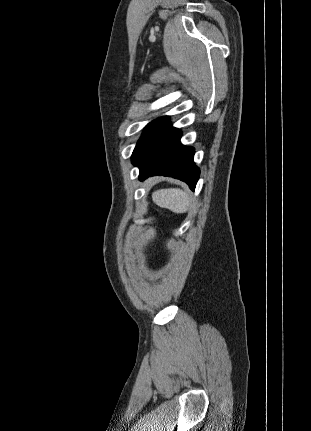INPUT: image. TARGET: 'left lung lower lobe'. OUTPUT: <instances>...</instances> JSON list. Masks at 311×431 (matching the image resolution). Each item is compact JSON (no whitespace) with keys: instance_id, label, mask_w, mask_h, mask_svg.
Returning <instances> with one entry per match:
<instances>
[{"instance_id":"1","label":"left lung lower lobe","mask_w":311,"mask_h":431,"mask_svg":"<svg viewBox=\"0 0 311 431\" xmlns=\"http://www.w3.org/2000/svg\"><path fill=\"white\" fill-rule=\"evenodd\" d=\"M182 133L172 127L168 117L150 122L143 130L131 156L139 167V179L163 175L180 179L194 190L200 170L195 165L194 148L180 143Z\"/></svg>"}]
</instances>
